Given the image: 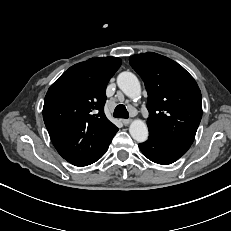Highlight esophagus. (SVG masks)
Returning a JSON list of instances; mask_svg holds the SVG:
<instances>
[{
    "mask_svg": "<svg viewBox=\"0 0 231 231\" xmlns=\"http://www.w3.org/2000/svg\"><path fill=\"white\" fill-rule=\"evenodd\" d=\"M122 122L124 125H128L131 123V119H123Z\"/></svg>",
    "mask_w": 231,
    "mask_h": 231,
    "instance_id": "esophagus-1",
    "label": "esophagus"
}]
</instances>
